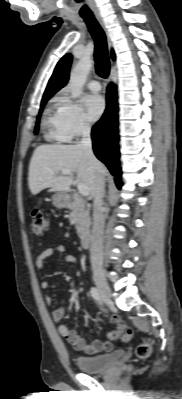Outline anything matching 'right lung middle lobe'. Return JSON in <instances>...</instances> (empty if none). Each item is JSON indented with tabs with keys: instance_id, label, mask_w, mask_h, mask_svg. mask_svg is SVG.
<instances>
[{
	"instance_id": "1",
	"label": "right lung middle lobe",
	"mask_w": 182,
	"mask_h": 399,
	"mask_svg": "<svg viewBox=\"0 0 182 399\" xmlns=\"http://www.w3.org/2000/svg\"><path fill=\"white\" fill-rule=\"evenodd\" d=\"M48 99H49V98H44V99H42L41 107H40V111H39V115L37 116L36 126H35V130H34L35 134L38 133L40 116H41L43 107H44V105L46 104V102L48 101Z\"/></svg>"
}]
</instances>
